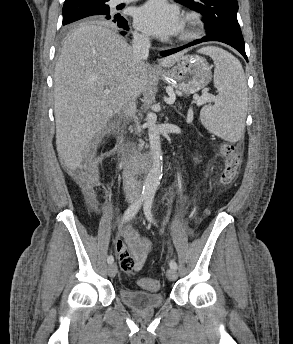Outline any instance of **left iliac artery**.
I'll return each mask as SVG.
<instances>
[{
  "instance_id": "44dca946",
  "label": "left iliac artery",
  "mask_w": 293,
  "mask_h": 344,
  "mask_svg": "<svg viewBox=\"0 0 293 344\" xmlns=\"http://www.w3.org/2000/svg\"><path fill=\"white\" fill-rule=\"evenodd\" d=\"M152 204H153V196H147L144 202V213L146 218L150 221L153 222V215H152ZM170 268L177 270V263L174 260L170 261Z\"/></svg>"
}]
</instances>
